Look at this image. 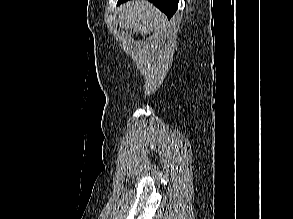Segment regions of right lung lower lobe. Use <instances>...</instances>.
<instances>
[{"label": "right lung lower lobe", "instance_id": "1", "mask_svg": "<svg viewBox=\"0 0 293 219\" xmlns=\"http://www.w3.org/2000/svg\"><path fill=\"white\" fill-rule=\"evenodd\" d=\"M127 0H118V5ZM153 2L162 12H164L168 18H171L172 15L177 10L178 0H149Z\"/></svg>", "mask_w": 293, "mask_h": 219}]
</instances>
